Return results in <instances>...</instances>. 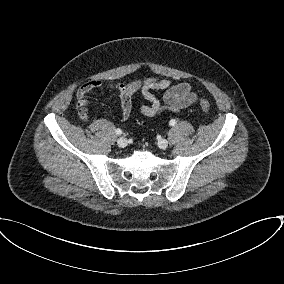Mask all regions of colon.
Instances as JSON below:
<instances>
[{
	"instance_id": "obj_1",
	"label": "colon",
	"mask_w": 284,
	"mask_h": 284,
	"mask_svg": "<svg viewBox=\"0 0 284 284\" xmlns=\"http://www.w3.org/2000/svg\"><path fill=\"white\" fill-rule=\"evenodd\" d=\"M200 106H201V109H202L205 113H207V112L209 111V109H210V104H209V102H208L206 99H204V98H201V99H200Z\"/></svg>"
}]
</instances>
